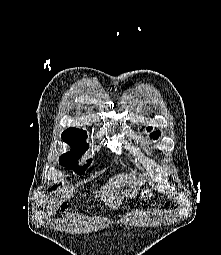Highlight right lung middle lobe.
<instances>
[{
    "label": "right lung middle lobe",
    "mask_w": 221,
    "mask_h": 255,
    "mask_svg": "<svg viewBox=\"0 0 221 255\" xmlns=\"http://www.w3.org/2000/svg\"><path fill=\"white\" fill-rule=\"evenodd\" d=\"M86 137V132L81 131L66 130L62 133V140L71 146V150L59 158V163L79 175L83 174L89 166L80 167L77 165L80 156L88 149V144L85 142ZM88 163H91V159L88 160Z\"/></svg>",
    "instance_id": "1"
}]
</instances>
